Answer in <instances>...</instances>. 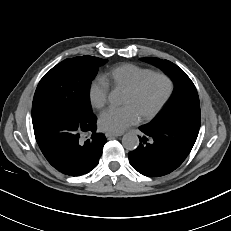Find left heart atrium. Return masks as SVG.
<instances>
[{
	"label": "left heart atrium",
	"instance_id": "39dd6f15",
	"mask_svg": "<svg viewBox=\"0 0 231 231\" xmlns=\"http://www.w3.org/2000/svg\"><path fill=\"white\" fill-rule=\"evenodd\" d=\"M140 116L134 107L127 105L121 108H109L99 118L102 130L112 133H122L131 125L136 124Z\"/></svg>",
	"mask_w": 231,
	"mask_h": 231
}]
</instances>
